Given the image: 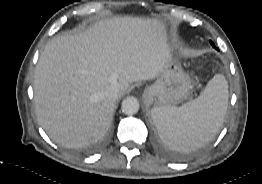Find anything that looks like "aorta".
Instances as JSON below:
<instances>
[{"mask_svg":"<svg viewBox=\"0 0 262 184\" xmlns=\"http://www.w3.org/2000/svg\"><path fill=\"white\" fill-rule=\"evenodd\" d=\"M121 108L126 115L136 114L139 110V101L134 96L127 97L122 101Z\"/></svg>","mask_w":262,"mask_h":184,"instance_id":"obj_1","label":"aorta"}]
</instances>
